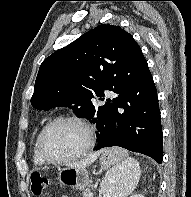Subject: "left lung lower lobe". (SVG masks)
Here are the masks:
<instances>
[{
  "label": "left lung lower lobe",
  "instance_id": "obj_1",
  "mask_svg": "<svg viewBox=\"0 0 191 197\" xmlns=\"http://www.w3.org/2000/svg\"><path fill=\"white\" fill-rule=\"evenodd\" d=\"M111 91L116 97L107 99L91 120L98 129L95 149L120 146L161 163L163 132L156 87L148 67L125 71Z\"/></svg>",
  "mask_w": 191,
  "mask_h": 197
}]
</instances>
